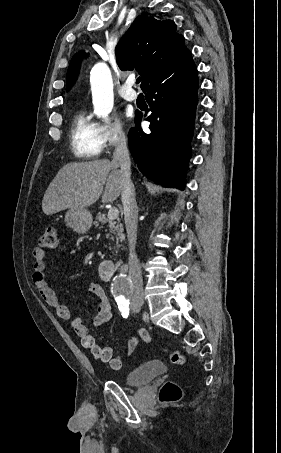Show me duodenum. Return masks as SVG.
Listing matches in <instances>:
<instances>
[{
  "instance_id": "obj_1",
  "label": "duodenum",
  "mask_w": 281,
  "mask_h": 453,
  "mask_svg": "<svg viewBox=\"0 0 281 453\" xmlns=\"http://www.w3.org/2000/svg\"><path fill=\"white\" fill-rule=\"evenodd\" d=\"M122 268V261L105 260L99 265V274L104 281H109Z\"/></svg>"
}]
</instances>
